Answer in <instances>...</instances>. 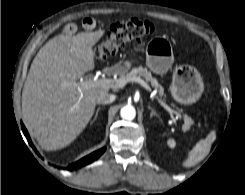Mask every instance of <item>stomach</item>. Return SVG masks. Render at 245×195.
Listing matches in <instances>:
<instances>
[{
    "label": "stomach",
    "mask_w": 245,
    "mask_h": 195,
    "mask_svg": "<svg viewBox=\"0 0 245 195\" xmlns=\"http://www.w3.org/2000/svg\"><path fill=\"white\" fill-rule=\"evenodd\" d=\"M173 63L171 44L163 38L151 40L146 50V64L148 68L157 74L168 71ZM132 61H120L114 65L117 74L128 72ZM204 90V84L200 73L189 65H181L175 68L170 91L173 99L184 105L195 103Z\"/></svg>",
    "instance_id": "0dacf381"
}]
</instances>
